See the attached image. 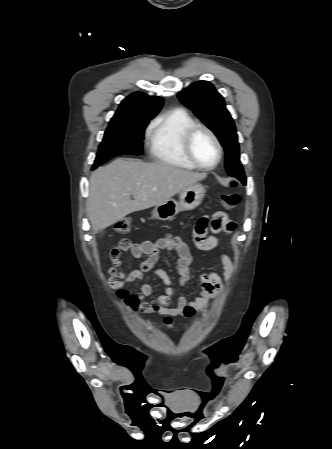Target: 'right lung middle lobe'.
I'll return each mask as SVG.
<instances>
[{
  "label": "right lung middle lobe",
  "mask_w": 332,
  "mask_h": 449,
  "mask_svg": "<svg viewBox=\"0 0 332 449\" xmlns=\"http://www.w3.org/2000/svg\"><path fill=\"white\" fill-rule=\"evenodd\" d=\"M152 118L111 119L92 169L118 155H141L144 130Z\"/></svg>",
  "instance_id": "1"
}]
</instances>
